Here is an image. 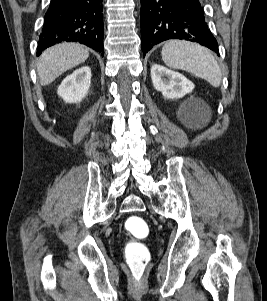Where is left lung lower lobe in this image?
Instances as JSON below:
<instances>
[{
    "instance_id": "left-lung-lower-lobe-1",
    "label": "left lung lower lobe",
    "mask_w": 267,
    "mask_h": 301,
    "mask_svg": "<svg viewBox=\"0 0 267 301\" xmlns=\"http://www.w3.org/2000/svg\"><path fill=\"white\" fill-rule=\"evenodd\" d=\"M140 25L143 56L168 39L197 42L219 55L199 0H141Z\"/></svg>"
}]
</instances>
